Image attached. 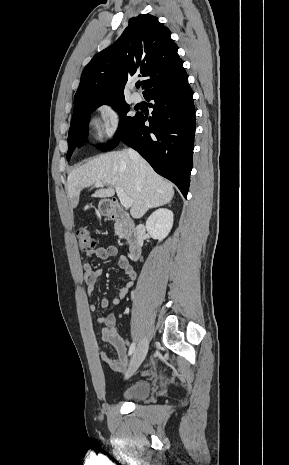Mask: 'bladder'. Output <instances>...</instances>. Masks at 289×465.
Returning a JSON list of instances; mask_svg holds the SVG:
<instances>
[{
	"mask_svg": "<svg viewBox=\"0 0 289 465\" xmlns=\"http://www.w3.org/2000/svg\"><path fill=\"white\" fill-rule=\"evenodd\" d=\"M151 392V384L147 380H139L131 384L124 392L123 398L128 401H142L146 399Z\"/></svg>",
	"mask_w": 289,
	"mask_h": 465,
	"instance_id": "1",
	"label": "bladder"
}]
</instances>
